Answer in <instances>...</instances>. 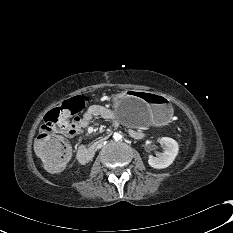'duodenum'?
<instances>
[{"label":"duodenum","mask_w":233,"mask_h":233,"mask_svg":"<svg viewBox=\"0 0 233 233\" xmlns=\"http://www.w3.org/2000/svg\"><path fill=\"white\" fill-rule=\"evenodd\" d=\"M107 136H103L98 139L95 143L91 146H82L78 149L77 157L79 162L86 164L90 162V160L94 157L96 151L98 150L99 146L107 139Z\"/></svg>","instance_id":"1"}]
</instances>
